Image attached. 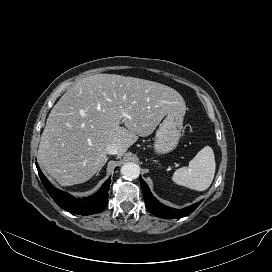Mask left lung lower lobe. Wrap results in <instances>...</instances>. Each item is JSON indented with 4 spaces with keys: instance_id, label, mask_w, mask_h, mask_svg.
Listing matches in <instances>:
<instances>
[{
    "instance_id": "obj_1",
    "label": "left lung lower lobe",
    "mask_w": 272,
    "mask_h": 272,
    "mask_svg": "<svg viewBox=\"0 0 272 272\" xmlns=\"http://www.w3.org/2000/svg\"><path fill=\"white\" fill-rule=\"evenodd\" d=\"M140 183L143 191L144 201L147 209L154 215L165 219H177L191 214L200 204L197 202L184 209H172L161 204L151 193L148 186L140 176Z\"/></svg>"
}]
</instances>
